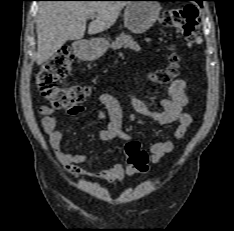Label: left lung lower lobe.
<instances>
[{
  "mask_svg": "<svg viewBox=\"0 0 234 231\" xmlns=\"http://www.w3.org/2000/svg\"><path fill=\"white\" fill-rule=\"evenodd\" d=\"M186 1H196L202 7V1L206 0H186Z\"/></svg>",
  "mask_w": 234,
  "mask_h": 231,
  "instance_id": "left-lung-lower-lobe-1",
  "label": "left lung lower lobe"
}]
</instances>
